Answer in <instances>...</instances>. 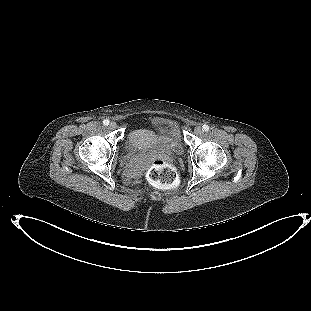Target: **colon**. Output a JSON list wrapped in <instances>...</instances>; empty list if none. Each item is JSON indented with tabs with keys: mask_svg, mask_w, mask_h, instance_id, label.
<instances>
[{
	"mask_svg": "<svg viewBox=\"0 0 311 311\" xmlns=\"http://www.w3.org/2000/svg\"><path fill=\"white\" fill-rule=\"evenodd\" d=\"M147 178L151 184L159 188H172L178 181L176 170L167 162L154 160L147 170Z\"/></svg>",
	"mask_w": 311,
	"mask_h": 311,
	"instance_id": "5ec220e1",
	"label": "colon"
}]
</instances>
